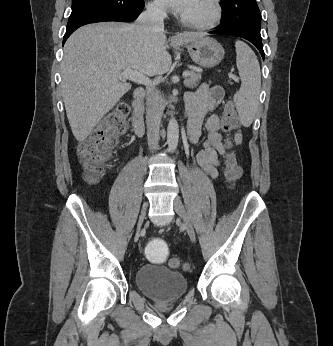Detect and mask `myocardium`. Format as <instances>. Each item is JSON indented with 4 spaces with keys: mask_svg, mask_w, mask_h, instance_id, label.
<instances>
[{
    "mask_svg": "<svg viewBox=\"0 0 333 346\" xmlns=\"http://www.w3.org/2000/svg\"><path fill=\"white\" fill-rule=\"evenodd\" d=\"M208 3L211 7V14L207 19L199 20L181 15V22L188 27L200 30H209L215 28L221 22L223 16L222 5L220 3V0H208Z\"/></svg>",
    "mask_w": 333,
    "mask_h": 346,
    "instance_id": "1",
    "label": "myocardium"
}]
</instances>
